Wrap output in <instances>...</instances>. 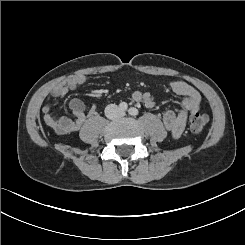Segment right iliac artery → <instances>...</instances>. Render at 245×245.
<instances>
[{
	"label": "right iliac artery",
	"mask_w": 245,
	"mask_h": 245,
	"mask_svg": "<svg viewBox=\"0 0 245 245\" xmlns=\"http://www.w3.org/2000/svg\"><path fill=\"white\" fill-rule=\"evenodd\" d=\"M127 108H128L127 103L121 102V103L119 104V109H120L121 111H126Z\"/></svg>",
	"instance_id": "1"
}]
</instances>
